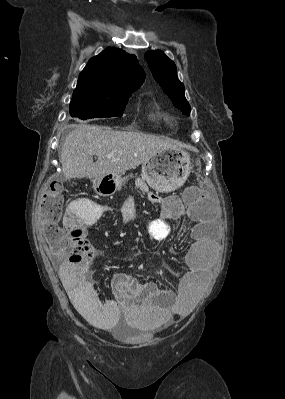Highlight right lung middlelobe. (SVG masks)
<instances>
[{"instance_id":"right-lung-middle-lobe-1","label":"right lung middle lobe","mask_w":285,"mask_h":399,"mask_svg":"<svg viewBox=\"0 0 285 399\" xmlns=\"http://www.w3.org/2000/svg\"><path fill=\"white\" fill-rule=\"evenodd\" d=\"M132 93L115 94L109 97L73 96L70 115L82 120L122 116Z\"/></svg>"}]
</instances>
